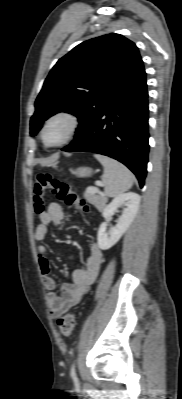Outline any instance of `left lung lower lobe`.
<instances>
[{
	"instance_id": "1",
	"label": "left lung lower lobe",
	"mask_w": 182,
	"mask_h": 399,
	"mask_svg": "<svg viewBox=\"0 0 182 399\" xmlns=\"http://www.w3.org/2000/svg\"><path fill=\"white\" fill-rule=\"evenodd\" d=\"M148 92L142 68L108 101L88 130L62 150L94 152L126 165L144 186L149 153Z\"/></svg>"
}]
</instances>
